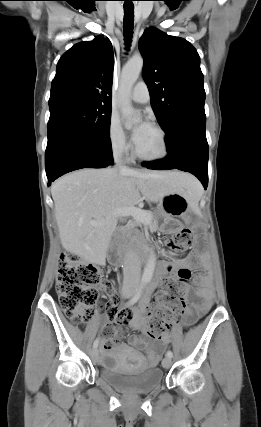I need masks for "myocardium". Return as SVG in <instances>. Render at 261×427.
<instances>
[{
	"instance_id": "f54148a6",
	"label": "myocardium",
	"mask_w": 261,
	"mask_h": 427,
	"mask_svg": "<svg viewBox=\"0 0 261 427\" xmlns=\"http://www.w3.org/2000/svg\"><path fill=\"white\" fill-rule=\"evenodd\" d=\"M154 130H156L158 132V134L160 135V139H161V143H162V151L159 155L156 156H144L141 155L136 147L133 149V156L143 162H157L160 160H163L164 158H166L169 154V144H168V139H167V134L165 132V130L156 124H153L151 126Z\"/></svg>"
}]
</instances>
